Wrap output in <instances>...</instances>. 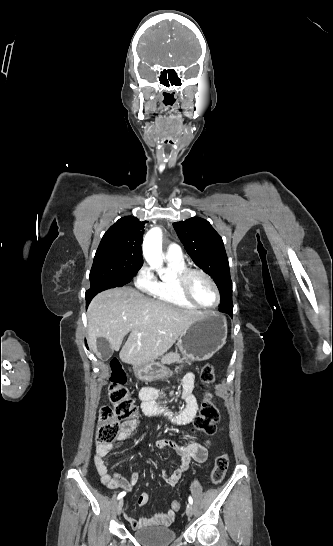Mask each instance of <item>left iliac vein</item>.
I'll return each mask as SVG.
<instances>
[{"label": "left iliac vein", "mask_w": 333, "mask_h": 546, "mask_svg": "<svg viewBox=\"0 0 333 546\" xmlns=\"http://www.w3.org/2000/svg\"><path fill=\"white\" fill-rule=\"evenodd\" d=\"M186 514L188 516H191L193 514V506L192 504H188L187 507H186Z\"/></svg>", "instance_id": "obj_1"}]
</instances>
